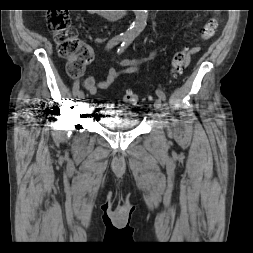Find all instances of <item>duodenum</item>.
I'll return each instance as SVG.
<instances>
[{
  "mask_svg": "<svg viewBox=\"0 0 253 253\" xmlns=\"http://www.w3.org/2000/svg\"><path fill=\"white\" fill-rule=\"evenodd\" d=\"M101 14L107 19L118 20L123 18L126 12L121 9H106Z\"/></svg>",
  "mask_w": 253,
  "mask_h": 253,
  "instance_id": "1",
  "label": "duodenum"
}]
</instances>
